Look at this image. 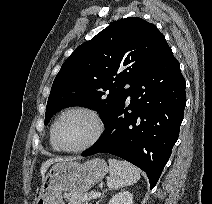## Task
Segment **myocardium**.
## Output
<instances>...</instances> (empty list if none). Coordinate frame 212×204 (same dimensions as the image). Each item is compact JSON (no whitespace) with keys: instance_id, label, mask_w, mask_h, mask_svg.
I'll return each instance as SVG.
<instances>
[{"instance_id":"myocardium-1","label":"myocardium","mask_w":212,"mask_h":204,"mask_svg":"<svg viewBox=\"0 0 212 204\" xmlns=\"http://www.w3.org/2000/svg\"><path fill=\"white\" fill-rule=\"evenodd\" d=\"M73 113H77V114H82L85 115L86 117H88L92 124H93V133L91 135V137L81 146L79 147H75V148H66L64 146H62L58 139H57V135H56V128L58 123L60 122V120L68 115V114H73ZM104 123L102 120V117L100 116V114L90 108H86V107H71L68 109L63 110L55 119L54 123L52 124L51 127V137L52 140L55 144V146L63 152H68V153H80L83 152L89 148H91L93 145H95L98 140L101 138L103 132H104Z\"/></svg>"}]
</instances>
